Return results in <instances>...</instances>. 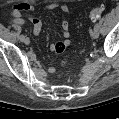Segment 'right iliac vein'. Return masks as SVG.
Wrapping results in <instances>:
<instances>
[{"label": "right iliac vein", "mask_w": 119, "mask_h": 119, "mask_svg": "<svg viewBox=\"0 0 119 119\" xmlns=\"http://www.w3.org/2000/svg\"><path fill=\"white\" fill-rule=\"evenodd\" d=\"M22 42H24L26 45H28L30 43V40H29V38L25 37Z\"/></svg>", "instance_id": "obj_1"}]
</instances>
